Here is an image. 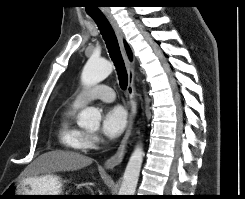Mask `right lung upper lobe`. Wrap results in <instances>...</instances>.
Returning a JSON list of instances; mask_svg holds the SVG:
<instances>
[{
	"label": "right lung upper lobe",
	"mask_w": 245,
	"mask_h": 199,
	"mask_svg": "<svg viewBox=\"0 0 245 199\" xmlns=\"http://www.w3.org/2000/svg\"><path fill=\"white\" fill-rule=\"evenodd\" d=\"M126 48H127L128 55H129V57L131 58V57H132V56H131V52H130V49H129V47H128L127 44H126Z\"/></svg>",
	"instance_id": "cb5924a9"
}]
</instances>
